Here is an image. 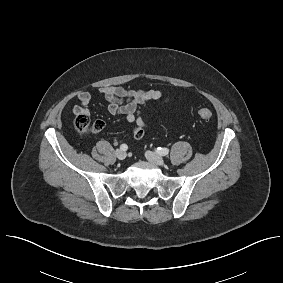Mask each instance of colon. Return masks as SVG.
<instances>
[{
  "mask_svg": "<svg viewBox=\"0 0 283 283\" xmlns=\"http://www.w3.org/2000/svg\"><path fill=\"white\" fill-rule=\"evenodd\" d=\"M198 116L203 120H210L213 117V113L207 108H200L198 110ZM74 127L80 134L89 135L100 132L104 127V123L102 121H96L91 124L85 114H78L74 119Z\"/></svg>",
  "mask_w": 283,
  "mask_h": 283,
  "instance_id": "obj_1",
  "label": "colon"
}]
</instances>
